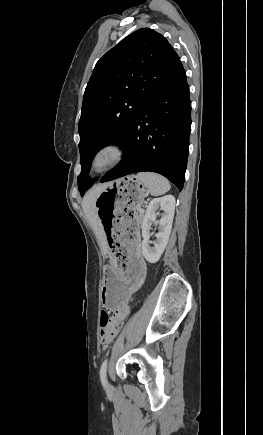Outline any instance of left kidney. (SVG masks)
Wrapping results in <instances>:
<instances>
[{
  "instance_id": "5707ae66",
  "label": "left kidney",
  "mask_w": 263,
  "mask_h": 435,
  "mask_svg": "<svg viewBox=\"0 0 263 435\" xmlns=\"http://www.w3.org/2000/svg\"><path fill=\"white\" fill-rule=\"evenodd\" d=\"M163 210L161 218L156 220L158 209ZM175 212V198L172 195H166L160 198H154L147 206L146 214L142 222V254L149 263L159 261L164 249L168 243L172 229L173 217ZM155 224L159 232L156 234L154 246L149 245L150 229Z\"/></svg>"
}]
</instances>
